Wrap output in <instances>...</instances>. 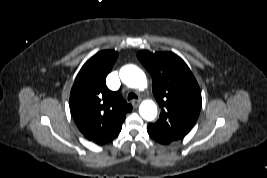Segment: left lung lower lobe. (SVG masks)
<instances>
[{"instance_id": "obj_1", "label": "left lung lower lobe", "mask_w": 267, "mask_h": 178, "mask_svg": "<svg viewBox=\"0 0 267 178\" xmlns=\"http://www.w3.org/2000/svg\"><path fill=\"white\" fill-rule=\"evenodd\" d=\"M147 131H148V133H149V135L151 136V138H153L156 142H158V143H160V144H167V143H165L161 138H159L158 136H156L154 133H152L150 130H148L147 129Z\"/></svg>"}]
</instances>
